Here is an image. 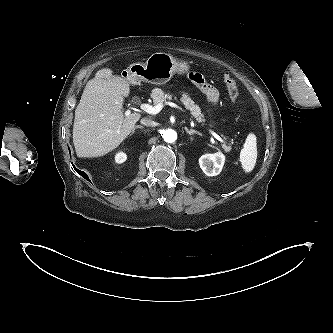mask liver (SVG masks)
<instances>
[{"instance_id":"1","label":"liver","mask_w":333,"mask_h":333,"mask_svg":"<svg viewBox=\"0 0 333 333\" xmlns=\"http://www.w3.org/2000/svg\"><path fill=\"white\" fill-rule=\"evenodd\" d=\"M130 80L103 68L89 80L75 110L73 143L78 157H97L117 148L141 118L139 113L123 114L124 97Z\"/></svg>"}]
</instances>
